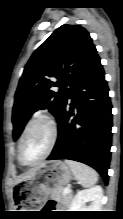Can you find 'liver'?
Wrapping results in <instances>:
<instances>
[{"instance_id": "6515ba94", "label": "liver", "mask_w": 123, "mask_h": 219, "mask_svg": "<svg viewBox=\"0 0 123 219\" xmlns=\"http://www.w3.org/2000/svg\"><path fill=\"white\" fill-rule=\"evenodd\" d=\"M37 168H34V169H31L29 172H27L25 175H23L22 177H20L18 180H17V183H20L26 179H29L31 178L34 173L36 172Z\"/></svg>"}]
</instances>
